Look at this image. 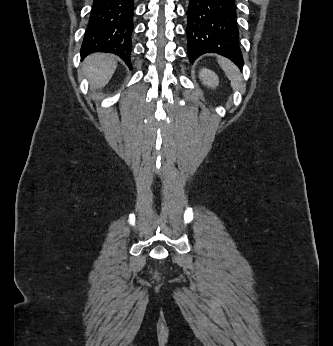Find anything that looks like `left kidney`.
I'll return each instance as SVG.
<instances>
[{
	"label": "left kidney",
	"mask_w": 333,
	"mask_h": 346,
	"mask_svg": "<svg viewBox=\"0 0 333 346\" xmlns=\"http://www.w3.org/2000/svg\"><path fill=\"white\" fill-rule=\"evenodd\" d=\"M199 77L202 80L204 85H207L212 88H215L216 86H218V83H219L218 76L215 74V72L209 69H206V68L201 69V71L199 72Z\"/></svg>",
	"instance_id": "1"
}]
</instances>
